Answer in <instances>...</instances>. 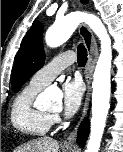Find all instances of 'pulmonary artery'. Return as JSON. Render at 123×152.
<instances>
[{"mask_svg":"<svg viewBox=\"0 0 123 152\" xmlns=\"http://www.w3.org/2000/svg\"><path fill=\"white\" fill-rule=\"evenodd\" d=\"M75 59V54L72 51L58 54L50 63L41 68L31 77L29 85L42 89L50 84L62 70L73 64Z\"/></svg>","mask_w":123,"mask_h":152,"instance_id":"e3ab8cb5","label":"pulmonary artery"}]
</instances>
